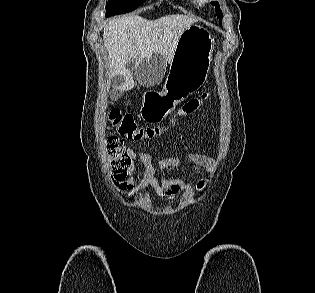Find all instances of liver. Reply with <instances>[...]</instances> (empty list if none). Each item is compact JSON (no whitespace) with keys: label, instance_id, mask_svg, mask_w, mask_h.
Instances as JSON below:
<instances>
[{"label":"liver","instance_id":"1","mask_svg":"<svg viewBox=\"0 0 315 293\" xmlns=\"http://www.w3.org/2000/svg\"><path fill=\"white\" fill-rule=\"evenodd\" d=\"M197 19L181 14L166 15L147 20L137 15L110 20L104 27V45L108 54L111 76H123V83L116 86L121 93L135 85L126 65L134 60L137 65L154 54H163L169 62L176 44L185 29Z\"/></svg>","mask_w":315,"mask_h":293}]
</instances>
